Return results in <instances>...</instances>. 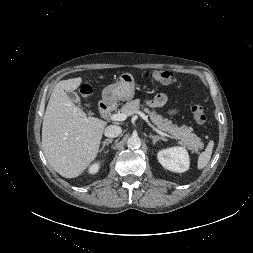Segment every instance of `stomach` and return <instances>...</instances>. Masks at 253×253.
<instances>
[{
    "label": "stomach",
    "mask_w": 253,
    "mask_h": 253,
    "mask_svg": "<svg viewBox=\"0 0 253 253\" xmlns=\"http://www.w3.org/2000/svg\"><path fill=\"white\" fill-rule=\"evenodd\" d=\"M135 81L130 73H123L119 81L103 89L102 97L108 102L129 101L135 94Z\"/></svg>",
    "instance_id": "0dacf381"
}]
</instances>
